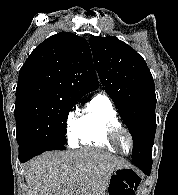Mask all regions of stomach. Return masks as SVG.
<instances>
[{
    "label": "stomach",
    "instance_id": "obj_1",
    "mask_svg": "<svg viewBox=\"0 0 178 195\" xmlns=\"http://www.w3.org/2000/svg\"><path fill=\"white\" fill-rule=\"evenodd\" d=\"M134 172L130 168H120L113 172L110 177L109 185H108V193L107 195H121L125 194L126 191L124 189H129L126 179Z\"/></svg>",
    "mask_w": 178,
    "mask_h": 195
}]
</instances>
